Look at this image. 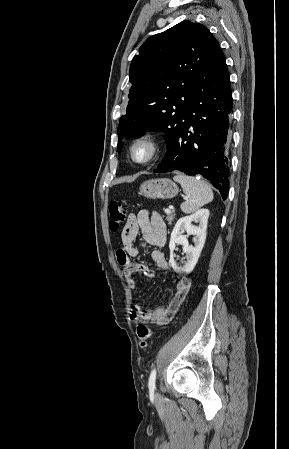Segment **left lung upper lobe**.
Returning <instances> with one entry per match:
<instances>
[{
    "mask_svg": "<svg viewBox=\"0 0 289 449\" xmlns=\"http://www.w3.org/2000/svg\"><path fill=\"white\" fill-rule=\"evenodd\" d=\"M218 41L198 23L182 21L149 38L130 65L127 114L117 129L118 151L124 137L162 130L167 146L190 103L202 71L219 50Z\"/></svg>",
    "mask_w": 289,
    "mask_h": 449,
    "instance_id": "obj_1",
    "label": "left lung upper lobe"
}]
</instances>
